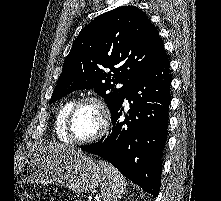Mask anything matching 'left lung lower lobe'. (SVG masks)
I'll return each mask as SVG.
<instances>
[{"mask_svg":"<svg viewBox=\"0 0 221 201\" xmlns=\"http://www.w3.org/2000/svg\"><path fill=\"white\" fill-rule=\"evenodd\" d=\"M169 59L143 75L126 93L130 109L125 120L122 102L112 113L113 129L103 141L82 150L101 156L145 192L157 197L161 185L163 149L167 139L171 76Z\"/></svg>","mask_w":221,"mask_h":201,"instance_id":"0a47b994","label":"left lung lower lobe"}]
</instances>
